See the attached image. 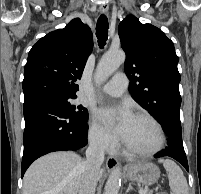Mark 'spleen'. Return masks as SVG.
I'll use <instances>...</instances> for the list:
<instances>
[{
    "instance_id": "1",
    "label": "spleen",
    "mask_w": 201,
    "mask_h": 194,
    "mask_svg": "<svg viewBox=\"0 0 201 194\" xmlns=\"http://www.w3.org/2000/svg\"><path fill=\"white\" fill-rule=\"evenodd\" d=\"M168 172L169 186L172 194H188L187 180L181 168L170 159H159Z\"/></svg>"
}]
</instances>
